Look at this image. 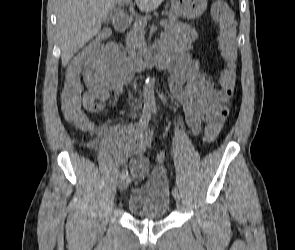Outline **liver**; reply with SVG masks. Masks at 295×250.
I'll return each instance as SVG.
<instances>
[{"label": "liver", "instance_id": "6515ba94", "mask_svg": "<svg viewBox=\"0 0 295 250\" xmlns=\"http://www.w3.org/2000/svg\"><path fill=\"white\" fill-rule=\"evenodd\" d=\"M123 0H57L56 15L62 66L100 31L115 6ZM163 0H136L143 12L155 10Z\"/></svg>", "mask_w": 295, "mask_h": 250}]
</instances>
